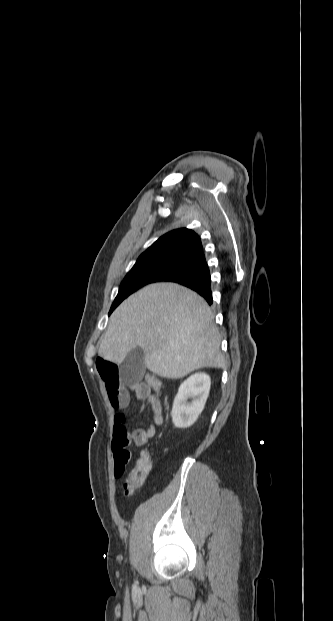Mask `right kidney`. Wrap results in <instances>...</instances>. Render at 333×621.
<instances>
[{
	"mask_svg": "<svg viewBox=\"0 0 333 621\" xmlns=\"http://www.w3.org/2000/svg\"><path fill=\"white\" fill-rule=\"evenodd\" d=\"M210 385V377L205 373L193 374L180 385L171 412L175 427L187 428L196 421L204 409ZM189 398L191 403L187 402Z\"/></svg>",
	"mask_w": 333,
	"mask_h": 621,
	"instance_id": "ca27d5eb",
	"label": "right kidney"
}]
</instances>
